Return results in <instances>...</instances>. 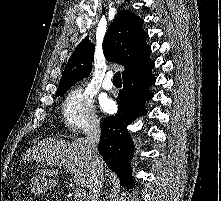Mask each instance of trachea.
Returning a JSON list of instances; mask_svg holds the SVG:
<instances>
[{"mask_svg": "<svg viewBox=\"0 0 221 201\" xmlns=\"http://www.w3.org/2000/svg\"><path fill=\"white\" fill-rule=\"evenodd\" d=\"M113 82L114 83H122L121 73L119 71L114 74Z\"/></svg>", "mask_w": 221, "mask_h": 201, "instance_id": "3493384b", "label": "trachea"}]
</instances>
